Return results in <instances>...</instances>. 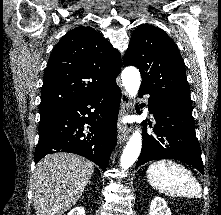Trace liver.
<instances>
[{
  "instance_id": "1",
  "label": "liver",
  "mask_w": 221,
  "mask_h": 215,
  "mask_svg": "<svg viewBox=\"0 0 221 215\" xmlns=\"http://www.w3.org/2000/svg\"><path fill=\"white\" fill-rule=\"evenodd\" d=\"M94 164L71 153H53L40 160L33 174L36 215H62L80 199Z\"/></svg>"
}]
</instances>
